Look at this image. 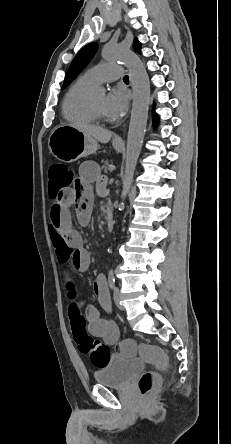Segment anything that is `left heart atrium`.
Returning <instances> with one entry per match:
<instances>
[{
    "label": "left heart atrium",
    "mask_w": 231,
    "mask_h": 444,
    "mask_svg": "<svg viewBox=\"0 0 231 444\" xmlns=\"http://www.w3.org/2000/svg\"><path fill=\"white\" fill-rule=\"evenodd\" d=\"M128 95L122 88L111 90L105 99V110L109 117L119 118L127 110Z\"/></svg>",
    "instance_id": "1"
}]
</instances>
